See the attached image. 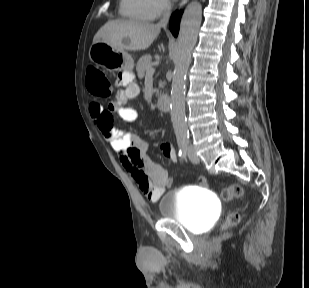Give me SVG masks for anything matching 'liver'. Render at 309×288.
<instances>
[{"label":"liver","instance_id":"6515ba94","mask_svg":"<svg viewBox=\"0 0 309 288\" xmlns=\"http://www.w3.org/2000/svg\"><path fill=\"white\" fill-rule=\"evenodd\" d=\"M160 29L158 25L150 23L116 19L102 26L95 34L93 42L103 41L121 51H140L153 43Z\"/></svg>","mask_w":309,"mask_h":288}]
</instances>
